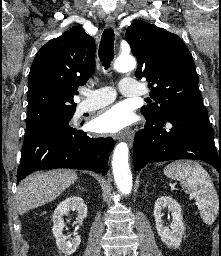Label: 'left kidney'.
Instances as JSON below:
<instances>
[{
	"mask_svg": "<svg viewBox=\"0 0 221 256\" xmlns=\"http://www.w3.org/2000/svg\"><path fill=\"white\" fill-rule=\"evenodd\" d=\"M168 208L171 211L172 223L165 227L162 220V210ZM154 217L157 232L161 241L169 248H178L182 242L185 231L180 204L170 196H161L157 199L154 206Z\"/></svg>",
	"mask_w": 221,
	"mask_h": 256,
	"instance_id": "5707ae66",
	"label": "left kidney"
}]
</instances>
